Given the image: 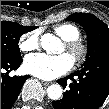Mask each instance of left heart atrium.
<instances>
[{
    "instance_id": "obj_1",
    "label": "left heart atrium",
    "mask_w": 109,
    "mask_h": 109,
    "mask_svg": "<svg viewBox=\"0 0 109 109\" xmlns=\"http://www.w3.org/2000/svg\"><path fill=\"white\" fill-rule=\"evenodd\" d=\"M73 67V61L67 54L47 55L35 53L28 55L24 60V69L40 79L53 80L58 78Z\"/></svg>"
}]
</instances>
